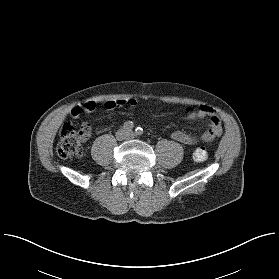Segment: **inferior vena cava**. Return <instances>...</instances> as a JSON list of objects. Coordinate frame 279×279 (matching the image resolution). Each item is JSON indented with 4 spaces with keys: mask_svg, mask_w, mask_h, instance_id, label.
<instances>
[{
    "mask_svg": "<svg viewBox=\"0 0 279 279\" xmlns=\"http://www.w3.org/2000/svg\"><path fill=\"white\" fill-rule=\"evenodd\" d=\"M133 136V133L131 132V131H126L125 133H124V135H122L121 137H120V139H128V138H130V137H132Z\"/></svg>",
    "mask_w": 279,
    "mask_h": 279,
    "instance_id": "1",
    "label": "inferior vena cava"
}]
</instances>
